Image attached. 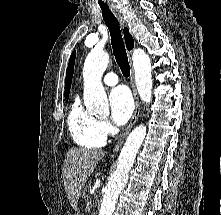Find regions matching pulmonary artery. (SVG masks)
<instances>
[{
  "label": "pulmonary artery",
  "instance_id": "pulmonary-artery-1",
  "mask_svg": "<svg viewBox=\"0 0 221 215\" xmlns=\"http://www.w3.org/2000/svg\"><path fill=\"white\" fill-rule=\"evenodd\" d=\"M118 81V76L113 72L107 73L103 78V82L108 86L116 85Z\"/></svg>",
  "mask_w": 221,
  "mask_h": 215
}]
</instances>
